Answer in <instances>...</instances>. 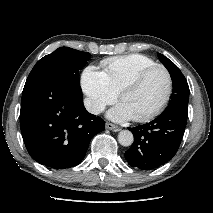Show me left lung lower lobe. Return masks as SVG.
<instances>
[{"mask_svg":"<svg viewBox=\"0 0 213 213\" xmlns=\"http://www.w3.org/2000/svg\"><path fill=\"white\" fill-rule=\"evenodd\" d=\"M188 109L166 108L153 121L129 128L134 135L133 145L125 152L132 167L142 170L157 168L177 152L187 122Z\"/></svg>","mask_w":213,"mask_h":213,"instance_id":"obj_1","label":"left lung lower lobe"}]
</instances>
